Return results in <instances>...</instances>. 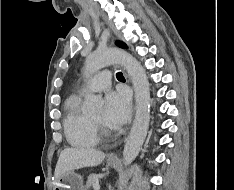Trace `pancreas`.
Wrapping results in <instances>:
<instances>
[{
    "mask_svg": "<svg viewBox=\"0 0 234 190\" xmlns=\"http://www.w3.org/2000/svg\"><path fill=\"white\" fill-rule=\"evenodd\" d=\"M98 180L99 176L97 174H90L86 181L85 189L89 190L91 187L98 183Z\"/></svg>",
    "mask_w": 234,
    "mask_h": 190,
    "instance_id": "obj_1",
    "label": "pancreas"
}]
</instances>
